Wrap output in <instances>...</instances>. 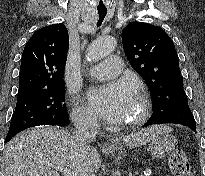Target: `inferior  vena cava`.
<instances>
[{"instance_id": "inferior-vena-cava-1", "label": "inferior vena cava", "mask_w": 205, "mask_h": 176, "mask_svg": "<svg viewBox=\"0 0 205 176\" xmlns=\"http://www.w3.org/2000/svg\"><path fill=\"white\" fill-rule=\"evenodd\" d=\"M76 130L74 139L83 146H88L96 138L99 130L97 119L90 116H79L74 120Z\"/></svg>"}]
</instances>
